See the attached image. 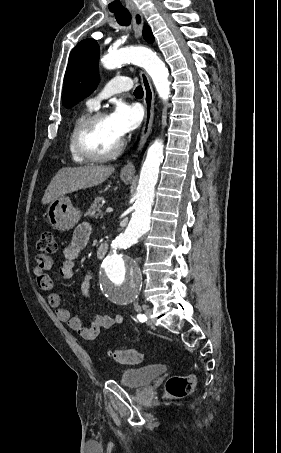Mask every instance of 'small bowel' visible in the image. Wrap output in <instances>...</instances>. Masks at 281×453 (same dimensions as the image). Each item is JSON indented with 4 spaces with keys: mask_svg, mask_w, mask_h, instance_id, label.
<instances>
[{
    "mask_svg": "<svg viewBox=\"0 0 281 453\" xmlns=\"http://www.w3.org/2000/svg\"><path fill=\"white\" fill-rule=\"evenodd\" d=\"M91 238V227L88 223L79 224L73 233L71 242L64 247L63 250V263L60 268L61 275L64 278H70L75 275V262L79 258L83 249H85ZM98 245H106L102 241ZM107 247V246H106ZM53 259L46 254H38L34 259L33 273L37 279L38 287L43 291H50L53 287L51 279ZM91 273L87 272L80 283V293L82 296L89 295ZM48 300L53 308H57V316L63 323L76 331L82 339H94L101 330L111 328L123 322L120 315L111 317L105 314H95L89 325H84L82 319L73 316L71 312L62 307L61 294L58 292H51L48 294Z\"/></svg>",
    "mask_w": 281,
    "mask_h": 453,
    "instance_id": "c3829d8e",
    "label": "small bowel"
}]
</instances>
